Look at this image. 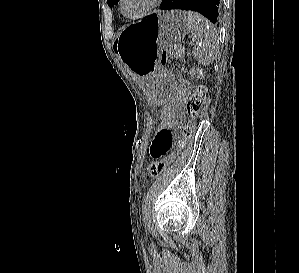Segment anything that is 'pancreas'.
Returning <instances> with one entry per match:
<instances>
[{
	"instance_id": "cf45deb5",
	"label": "pancreas",
	"mask_w": 299,
	"mask_h": 273,
	"mask_svg": "<svg viewBox=\"0 0 299 273\" xmlns=\"http://www.w3.org/2000/svg\"><path fill=\"white\" fill-rule=\"evenodd\" d=\"M178 56H182V53H179V55Z\"/></svg>"
}]
</instances>
